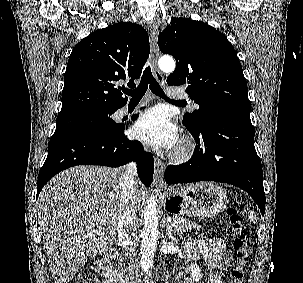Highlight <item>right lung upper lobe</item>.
<instances>
[{"mask_svg": "<svg viewBox=\"0 0 303 283\" xmlns=\"http://www.w3.org/2000/svg\"><path fill=\"white\" fill-rule=\"evenodd\" d=\"M149 37L140 25L119 22L91 33L68 60L58 116L85 111H116L128 98L118 82L135 87L149 56Z\"/></svg>", "mask_w": 303, "mask_h": 283, "instance_id": "1", "label": "right lung upper lobe"}]
</instances>
